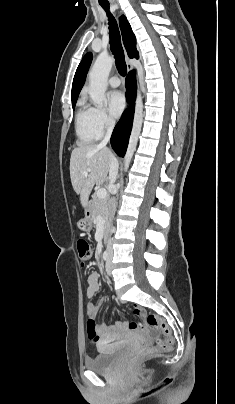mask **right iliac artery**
Masks as SVG:
<instances>
[{"mask_svg": "<svg viewBox=\"0 0 235 404\" xmlns=\"http://www.w3.org/2000/svg\"><path fill=\"white\" fill-rule=\"evenodd\" d=\"M107 258H108V252H107V251H105V252L103 253V259L106 261V260H107Z\"/></svg>", "mask_w": 235, "mask_h": 404, "instance_id": "82829eb1", "label": "right iliac artery"}]
</instances>
